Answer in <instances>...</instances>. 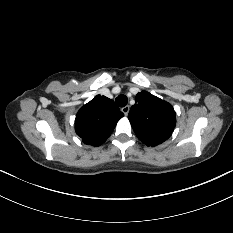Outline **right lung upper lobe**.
<instances>
[{"label": "right lung upper lobe", "instance_id": "cb5924a9", "mask_svg": "<svg viewBox=\"0 0 233 233\" xmlns=\"http://www.w3.org/2000/svg\"><path fill=\"white\" fill-rule=\"evenodd\" d=\"M123 116L113 100L97 95L78 111L75 131L85 144L99 146L110 136Z\"/></svg>", "mask_w": 233, "mask_h": 233}]
</instances>
